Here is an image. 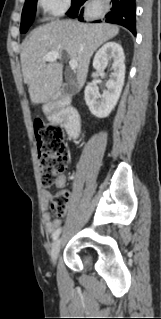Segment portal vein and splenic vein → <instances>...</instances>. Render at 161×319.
I'll use <instances>...</instances> for the list:
<instances>
[{"instance_id": "portal-vein-and-splenic-vein-1", "label": "portal vein and splenic vein", "mask_w": 161, "mask_h": 319, "mask_svg": "<svg viewBox=\"0 0 161 319\" xmlns=\"http://www.w3.org/2000/svg\"><path fill=\"white\" fill-rule=\"evenodd\" d=\"M57 59H61V54L57 51H50L44 57V61L54 62ZM69 66L72 70H75L78 66V62L76 60H70Z\"/></svg>"}]
</instances>
